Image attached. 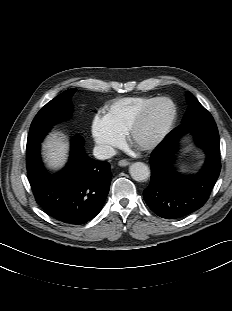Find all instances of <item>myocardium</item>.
Returning a JSON list of instances; mask_svg holds the SVG:
<instances>
[{
    "label": "myocardium",
    "instance_id": "myocardium-1",
    "mask_svg": "<svg viewBox=\"0 0 232 311\" xmlns=\"http://www.w3.org/2000/svg\"><path fill=\"white\" fill-rule=\"evenodd\" d=\"M160 103H168L171 106V115L164 124V126L161 128V130L149 141L137 144L135 142V134L137 130L141 127V125L146 120L148 114L151 112V110L157 106ZM177 116V107L175 103L168 97H157L151 102H149L147 105H145L137 114V116L134 118L132 123L130 124L129 128L126 132V139L128 143L133 146L134 148L138 150H151L157 147L168 135L170 132Z\"/></svg>",
    "mask_w": 232,
    "mask_h": 311
}]
</instances>
